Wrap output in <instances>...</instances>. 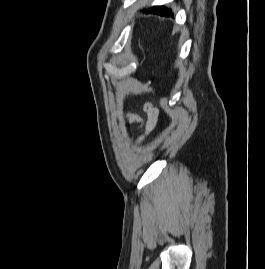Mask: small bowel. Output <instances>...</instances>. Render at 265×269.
Instances as JSON below:
<instances>
[{"label":"small bowel","mask_w":265,"mask_h":269,"mask_svg":"<svg viewBox=\"0 0 265 269\" xmlns=\"http://www.w3.org/2000/svg\"><path fill=\"white\" fill-rule=\"evenodd\" d=\"M145 109L147 113V121L145 123L144 134L139 139L140 141L143 140L145 136L154 129L156 122L158 120V110L155 107H153L152 104L148 103L145 106Z\"/></svg>","instance_id":"c3829d8e"}]
</instances>
